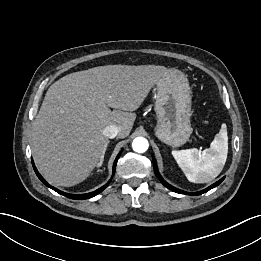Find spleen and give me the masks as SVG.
I'll return each instance as SVG.
<instances>
[{
  "label": "spleen",
  "mask_w": 261,
  "mask_h": 261,
  "mask_svg": "<svg viewBox=\"0 0 261 261\" xmlns=\"http://www.w3.org/2000/svg\"><path fill=\"white\" fill-rule=\"evenodd\" d=\"M228 153L226 124H222L210 148L198 151L196 148L172 151L177 164L187 179L193 183H207L215 179L223 170Z\"/></svg>",
  "instance_id": "obj_1"
}]
</instances>
